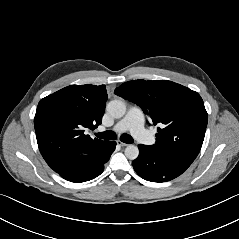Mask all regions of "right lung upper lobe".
I'll use <instances>...</instances> for the list:
<instances>
[{
	"mask_svg": "<svg viewBox=\"0 0 239 239\" xmlns=\"http://www.w3.org/2000/svg\"><path fill=\"white\" fill-rule=\"evenodd\" d=\"M107 100L105 85H70L40 100L34 126L39 150L55 172L75 154H89L107 141L92 139L86 129L101 124Z\"/></svg>",
	"mask_w": 239,
	"mask_h": 239,
	"instance_id": "1",
	"label": "right lung upper lobe"
}]
</instances>
